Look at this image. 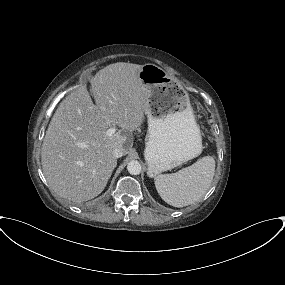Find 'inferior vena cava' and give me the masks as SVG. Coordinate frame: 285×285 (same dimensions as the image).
<instances>
[{
    "mask_svg": "<svg viewBox=\"0 0 285 285\" xmlns=\"http://www.w3.org/2000/svg\"><path fill=\"white\" fill-rule=\"evenodd\" d=\"M123 155H125V151L122 147L115 148V150H114V157L115 158H120Z\"/></svg>",
    "mask_w": 285,
    "mask_h": 285,
    "instance_id": "602c4592",
    "label": "inferior vena cava"
}]
</instances>
